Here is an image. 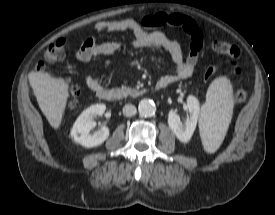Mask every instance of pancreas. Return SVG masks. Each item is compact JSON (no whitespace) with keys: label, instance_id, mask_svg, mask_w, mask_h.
I'll list each match as a JSON object with an SVG mask.
<instances>
[{"label":"pancreas","instance_id":"obj_1","mask_svg":"<svg viewBox=\"0 0 275 215\" xmlns=\"http://www.w3.org/2000/svg\"><path fill=\"white\" fill-rule=\"evenodd\" d=\"M117 90L122 97H127V96L137 97L138 95H141L144 92V91H137L136 89L130 88L128 86H122Z\"/></svg>","mask_w":275,"mask_h":215}]
</instances>
